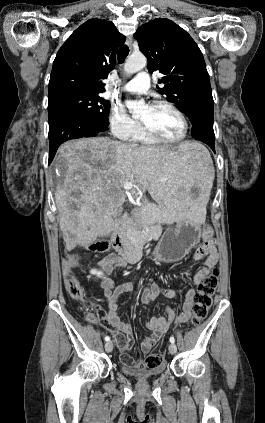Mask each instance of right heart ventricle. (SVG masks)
<instances>
[{"label": "right heart ventricle", "mask_w": 265, "mask_h": 423, "mask_svg": "<svg viewBox=\"0 0 265 423\" xmlns=\"http://www.w3.org/2000/svg\"><path fill=\"white\" fill-rule=\"evenodd\" d=\"M133 142L140 143L142 145H154L158 142L149 138L147 135L144 134L142 129L139 127V129L136 131L135 135L131 139Z\"/></svg>", "instance_id": "e07e8e85"}]
</instances>
